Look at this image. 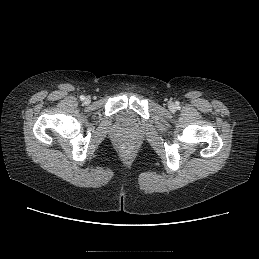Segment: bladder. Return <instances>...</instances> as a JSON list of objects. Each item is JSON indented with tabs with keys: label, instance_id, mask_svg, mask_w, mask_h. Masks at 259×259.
Returning <instances> with one entry per match:
<instances>
[{
	"label": "bladder",
	"instance_id": "bladder-1",
	"mask_svg": "<svg viewBox=\"0 0 259 259\" xmlns=\"http://www.w3.org/2000/svg\"><path fill=\"white\" fill-rule=\"evenodd\" d=\"M118 120L122 124H128L131 120V117L127 112H122V113L119 114Z\"/></svg>",
	"mask_w": 259,
	"mask_h": 259
}]
</instances>
